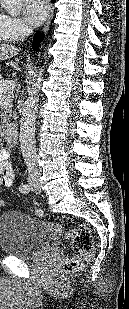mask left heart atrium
Here are the masks:
<instances>
[{
	"label": "left heart atrium",
	"mask_w": 129,
	"mask_h": 309,
	"mask_svg": "<svg viewBox=\"0 0 129 309\" xmlns=\"http://www.w3.org/2000/svg\"><path fill=\"white\" fill-rule=\"evenodd\" d=\"M49 12L48 0H25L24 15L32 26L40 25Z\"/></svg>",
	"instance_id": "39dd6f15"
}]
</instances>
